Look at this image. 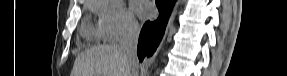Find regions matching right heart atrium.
<instances>
[{"instance_id": "d8ad5b80", "label": "right heart atrium", "mask_w": 287, "mask_h": 76, "mask_svg": "<svg viewBox=\"0 0 287 76\" xmlns=\"http://www.w3.org/2000/svg\"><path fill=\"white\" fill-rule=\"evenodd\" d=\"M92 9L98 16L99 30L106 41L117 42L139 31L134 14L118 0H96Z\"/></svg>"}]
</instances>
